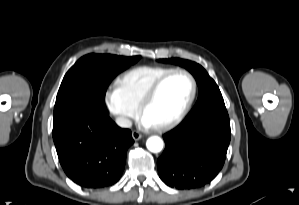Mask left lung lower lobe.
<instances>
[{
	"mask_svg": "<svg viewBox=\"0 0 299 205\" xmlns=\"http://www.w3.org/2000/svg\"><path fill=\"white\" fill-rule=\"evenodd\" d=\"M226 108L186 117L164 135L165 151L157 161L161 180L176 189H194L213 180L222 169L230 143Z\"/></svg>",
	"mask_w": 299,
	"mask_h": 205,
	"instance_id": "0a47b994",
	"label": "left lung lower lobe"
}]
</instances>
